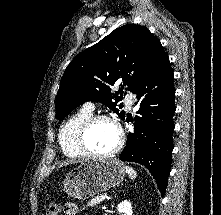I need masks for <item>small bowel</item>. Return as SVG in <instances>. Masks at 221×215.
<instances>
[{
  "label": "small bowel",
  "instance_id": "obj_1",
  "mask_svg": "<svg viewBox=\"0 0 221 215\" xmlns=\"http://www.w3.org/2000/svg\"><path fill=\"white\" fill-rule=\"evenodd\" d=\"M63 210L66 215H77L79 212L78 207L73 203H66Z\"/></svg>",
  "mask_w": 221,
  "mask_h": 215
}]
</instances>
